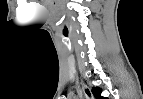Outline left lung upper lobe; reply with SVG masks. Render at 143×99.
<instances>
[{"label":"left lung upper lobe","mask_w":143,"mask_h":99,"mask_svg":"<svg viewBox=\"0 0 143 99\" xmlns=\"http://www.w3.org/2000/svg\"><path fill=\"white\" fill-rule=\"evenodd\" d=\"M92 93L96 99H105L104 97L101 96V89L100 88L93 87Z\"/></svg>","instance_id":"left-lung-upper-lobe-1"}]
</instances>
